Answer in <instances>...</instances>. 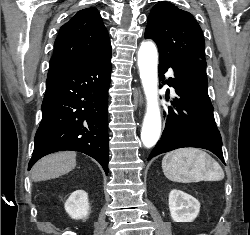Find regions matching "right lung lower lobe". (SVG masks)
<instances>
[{
  "mask_svg": "<svg viewBox=\"0 0 250 235\" xmlns=\"http://www.w3.org/2000/svg\"><path fill=\"white\" fill-rule=\"evenodd\" d=\"M110 74L111 48L78 67L48 73L28 170L45 155L72 150L93 157L108 174Z\"/></svg>",
  "mask_w": 250,
  "mask_h": 235,
  "instance_id": "obj_1",
  "label": "right lung lower lobe"
}]
</instances>
